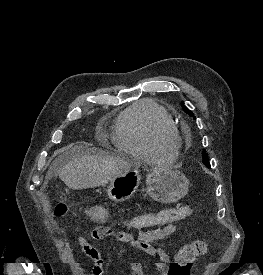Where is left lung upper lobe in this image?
<instances>
[{
	"label": "left lung upper lobe",
	"mask_w": 263,
	"mask_h": 275,
	"mask_svg": "<svg viewBox=\"0 0 263 275\" xmlns=\"http://www.w3.org/2000/svg\"><path fill=\"white\" fill-rule=\"evenodd\" d=\"M182 108L185 110V112L187 114H189L190 116L194 117V114L192 113V111H190L185 105H183V102H182ZM195 118V117H194ZM202 155H203V163L207 166V167H210V163L208 161V157L206 155V152L205 150L202 151Z\"/></svg>",
	"instance_id": "5c2ea615"
}]
</instances>
